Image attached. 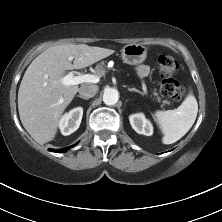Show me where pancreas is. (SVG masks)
I'll return each instance as SVG.
<instances>
[{
  "instance_id": "pancreas-1",
  "label": "pancreas",
  "mask_w": 222,
  "mask_h": 222,
  "mask_svg": "<svg viewBox=\"0 0 222 222\" xmlns=\"http://www.w3.org/2000/svg\"><path fill=\"white\" fill-rule=\"evenodd\" d=\"M105 68H104V62H100L96 67H95V74L99 77H102L105 75ZM153 95L157 97L158 102H161V97H159L158 93L156 92V89H154ZM166 104H170L168 100H163L162 101V107Z\"/></svg>"
}]
</instances>
